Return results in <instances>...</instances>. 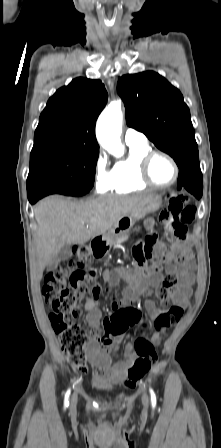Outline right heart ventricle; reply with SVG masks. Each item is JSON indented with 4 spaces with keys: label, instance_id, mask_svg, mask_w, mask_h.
Returning <instances> with one entry per match:
<instances>
[{
    "label": "right heart ventricle",
    "instance_id": "e07e8e85",
    "mask_svg": "<svg viewBox=\"0 0 221 448\" xmlns=\"http://www.w3.org/2000/svg\"><path fill=\"white\" fill-rule=\"evenodd\" d=\"M148 143L129 145L127 158L117 162L113 168L110 190L115 193H130L149 187L140 177V161L151 151Z\"/></svg>",
    "mask_w": 221,
    "mask_h": 448
}]
</instances>
